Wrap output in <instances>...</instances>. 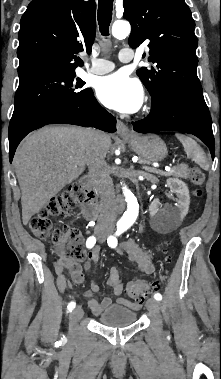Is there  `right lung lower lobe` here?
<instances>
[{
  "label": "right lung lower lobe",
  "instance_id": "right-lung-lower-lobe-1",
  "mask_svg": "<svg viewBox=\"0 0 221 379\" xmlns=\"http://www.w3.org/2000/svg\"><path fill=\"white\" fill-rule=\"evenodd\" d=\"M52 123L95 127L110 133L116 131V119L100 106L91 90L88 96L80 102L40 117L25 129L9 138L10 162L13 159L18 144L29 132Z\"/></svg>",
  "mask_w": 221,
  "mask_h": 379
}]
</instances>
